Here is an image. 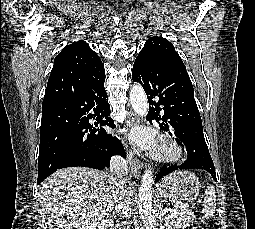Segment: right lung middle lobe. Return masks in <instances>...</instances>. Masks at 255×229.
Instances as JSON below:
<instances>
[{"mask_svg": "<svg viewBox=\"0 0 255 229\" xmlns=\"http://www.w3.org/2000/svg\"><path fill=\"white\" fill-rule=\"evenodd\" d=\"M75 125L72 117H61L45 122L40 129L38 163L51 167L60 159Z\"/></svg>", "mask_w": 255, "mask_h": 229, "instance_id": "dd1d6c3e", "label": "right lung middle lobe"}]
</instances>
